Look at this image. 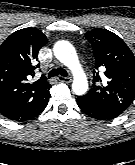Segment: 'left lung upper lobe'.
I'll return each instance as SVG.
<instances>
[{"label": "left lung upper lobe", "mask_w": 135, "mask_h": 165, "mask_svg": "<svg viewBox=\"0 0 135 165\" xmlns=\"http://www.w3.org/2000/svg\"><path fill=\"white\" fill-rule=\"evenodd\" d=\"M86 38L93 48L95 69L93 85L81 97L120 115L135 98V56L119 36L106 29H93ZM100 67L104 79L99 75Z\"/></svg>", "instance_id": "obj_1"}]
</instances>
